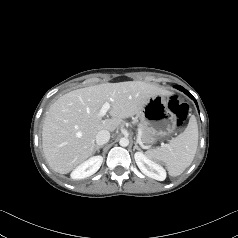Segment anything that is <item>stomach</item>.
Here are the masks:
<instances>
[{"label":"stomach","mask_w":238,"mask_h":238,"mask_svg":"<svg viewBox=\"0 0 238 238\" xmlns=\"http://www.w3.org/2000/svg\"><path fill=\"white\" fill-rule=\"evenodd\" d=\"M139 116L141 124L147 133V144L157 142L173 133L176 129V116L168 108V100L163 95L149 98Z\"/></svg>","instance_id":"1"}]
</instances>
